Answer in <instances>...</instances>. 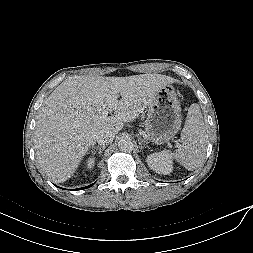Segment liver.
I'll list each match as a JSON object with an SVG mask.
<instances>
[{"instance_id":"1","label":"liver","mask_w":253,"mask_h":253,"mask_svg":"<svg viewBox=\"0 0 253 253\" xmlns=\"http://www.w3.org/2000/svg\"><path fill=\"white\" fill-rule=\"evenodd\" d=\"M176 82L161 74L69 77L55 88L40 111L34 138L39 167L53 181H66L95 144L100 130L108 128L117 134L166 85ZM105 111L114 114L96 118Z\"/></svg>"}]
</instances>
